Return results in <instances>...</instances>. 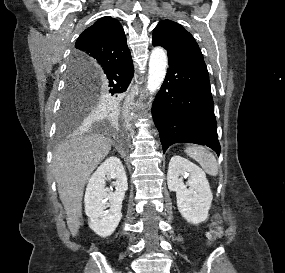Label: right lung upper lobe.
I'll return each mask as SVG.
<instances>
[{"instance_id": "cb5924a9", "label": "right lung upper lobe", "mask_w": 285, "mask_h": 273, "mask_svg": "<svg viewBox=\"0 0 285 273\" xmlns=\"http://www.w3.org/2000/svg\"><path fill=\"white\" fill-rule=\"evenodd\" d=\"M124 30L117 19L105 16L88 27L77 39L69 68L87 76L104 66L130 58ZM102 105V104H99Z\"/></svg>"}]
</instances>
